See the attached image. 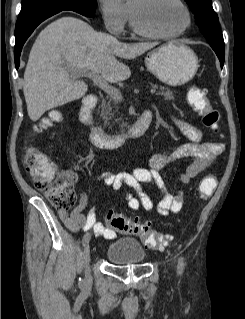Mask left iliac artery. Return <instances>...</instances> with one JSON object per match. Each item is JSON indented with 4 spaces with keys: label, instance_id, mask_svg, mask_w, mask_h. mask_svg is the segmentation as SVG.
Segmentation results:
<instances>
[{
    "label": "left iliac artery",
    "instance_id": "44dca946",
    "mask_svg": "<svg viewBox=\"0 0 245 319\" xmlns=\"http://www.w3.org/2000/svg\"><path fill=\"white\" fill-rule=\"evenodd\" d=\"M183 268H184V259L181 257L179 259V264H178V272H179V274H181L183 272Z\"/></svg>",
    "mask_w": 245,
    "mask_h": 319
}]
</instances>
